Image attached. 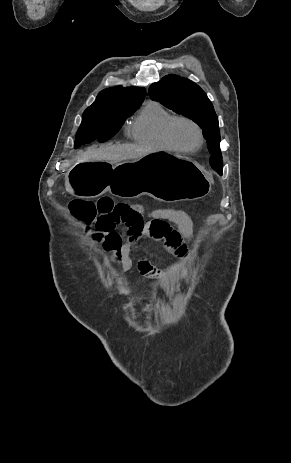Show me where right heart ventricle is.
<instances>
[{
  "label": "right heart ventricle",
  "mask_w": 291,
  "mask_h": 463,
  "mask_svg": "<svg viewBox=\"0 0 291 463\" xmlns=\"http://www.w3.org/2000/svg\"><path fill=\"white\" fill-rule=\"evenodd\" d=\"M175 117L158 102H148L137 114L129 127L130 138L139 144L159 150L173 151L165 138V128Z\"/></svg>",
  "instance_id": "right-heart-ventricle-1"
}]
</instances>
